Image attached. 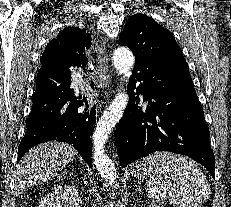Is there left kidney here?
<instances>
[{
    "instance_id": "1",
    "label": "left kidney",
    "mask_w": 231,
    "mask_h": 207,
    "mask_svg": "<svg viewBox=\"0 0 231 207\" xmlns=\"http://www.w3.org/2000/svg\"><path fill=\"white\" fill-rule=\"evenodd\" d=\"M152 207H162V206H160V205H155V206H152Z\"/></svg>"
}]
</instances>
